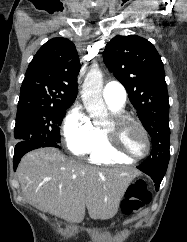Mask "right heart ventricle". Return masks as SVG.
Returning <instances> with one entry per match:
<instances>
[{
  "label": "right heart ventricle",
  "instance_id": "obj_1",
  "mask_svg": "<svg viewBox=\"0 0 187 242\" xmlns=\"http://www.w3.org/2000/svg\"><path fill=\"white\" fill-rule=\"evenodd\" d=\"M113 112L118 113L120 109H111ZM98 129V128H97ZM99 141L98 143L87 153L88 160L92 164L97 165H111V164H127L131 161L114 154L107 145L105 133L103 129H98Z\"/></svg>",
  "mask_w": 187,
  "mask_h": 242
}]
</instances>
